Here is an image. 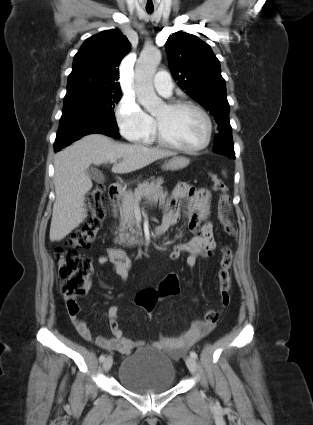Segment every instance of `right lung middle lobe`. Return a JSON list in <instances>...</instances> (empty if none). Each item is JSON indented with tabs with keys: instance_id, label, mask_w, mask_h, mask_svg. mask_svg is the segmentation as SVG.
Here are the masks:
<instances>
[{
	"instance_id": "dd1d6c3e",
	"label": "right lung middle lobe",
	"mask_w": 313,
	"mask_h": 425,
	"mask_svg": "<svg viewBox=\"0 0 313 425\" xmlns=\"http://www.w3.org/2000/svg\"><path fill=\"white\" fill-rule=\"evenodd\" d=\"M121 90L77 91L67 93L64 97L63 109L81 108L102 114L114 115L113 109L119 102Z\"/></svg>"
}]
</instances>
